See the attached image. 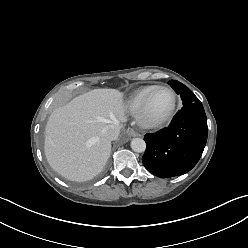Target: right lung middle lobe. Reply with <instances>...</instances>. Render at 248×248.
<instances>
[{
	"label": "right lung middle lobe",
	"mask_w": 248,
	"mask_h": 248,
	"mask_svg": "<svg viewBox=\"0 0 248 248\" xmlns=\"http://www.w3.org/2000/svg\"><path fill=\"white\" fill-rule=\"evenodd\" d=\"M103 173H101L97 178H99Z\"/></svg>",
	"instance_id": "obj_1"
}]
</instances>
